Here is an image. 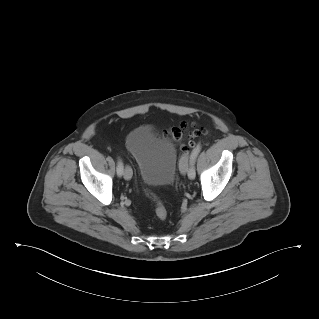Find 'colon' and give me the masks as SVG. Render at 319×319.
Wrapping results in <instances>:
<instances>
[{
  "instance_id": "1",
  "label": "colon",
  "mask_w": 319,
  "mask_h": 319,
  "mask_svg": "<svg viewBox=\"0 0 319 319\" xmlns=\"http://www.w3.org/2000/svg\"><path fill=\"white\" fill-rule=\"evenodd\" d=\"M189 126L187 124H181L178 127H173L169 130L168 134L170 135V137L176 139V140H180L184 134L188 131ZM195 135L196 134H203L204 130H199L196 129L193 132ZM189 150V146L184 145L182 147V151L186 152ZM146 195L153 201L154 206H155V215L158 219L160 220H165L168 216V211L167 208L165 207L163 201L152 191L150 190H145Z\"/></svg>"
}]
</instances>
